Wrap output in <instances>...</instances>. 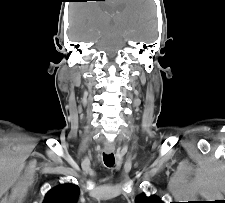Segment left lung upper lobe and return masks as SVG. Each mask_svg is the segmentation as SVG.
Wrapping results in <instances>:
<instances>
[{
	"label": "left lung upper lobe",
	"mask_w": 225,
	"mask_h": 203,
	"mask_svg": "<svg viewBox=\"0 0 225 203\" xmlns=\"http://www.w3.org/2000/svg\"><path fill=\"white\" fill-rule=\"evenodd\" d=\"M136 203H163L157 196H146L144 193L136 198Z\"/></svg>",
	"instance_id": "5c2ea615"
}]
</instances>
